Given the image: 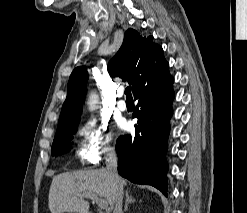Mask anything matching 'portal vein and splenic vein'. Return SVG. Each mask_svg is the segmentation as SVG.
<instances>
[{"label": "portal vein and splenic vein", "mask_w": 247, "mask_h": 213, "mask_svg": "<svg viewBox=\"0 0 247 213\" xmlns=\"http://www.w3.org/2000/svg\"><path fill=\"white\" fill-rule=\"evenodd\" d=\"M84 196L95 201L101 209L106 210L108 208V202L105 199H101L92 193H87Z\"/></svg>", "instance_id": "1"}]
</instances>
